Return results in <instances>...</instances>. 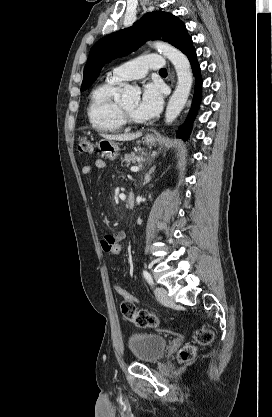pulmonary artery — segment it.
Returning <instances> with one entry per match:
<instances>
[{
    "instance_id": "obj_1",
    "label": "pulmonary artery",
    "mask_w": 272,
    "mask_h": 417,
    "mask_svg": "<svg viewBox=\"0 0 272 417\" xmlns=\"http://www.w3.org/2000/svg\"><path fill=\"white\" fill-rule=\"evenodd\" d=\"M165 60L158 54H147L124 63L112 70L110 77L118 82H126L144 77L149 70H161Z\"/></svg>"
}]
</instances>
